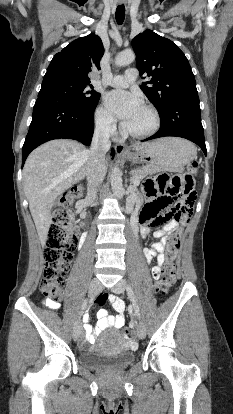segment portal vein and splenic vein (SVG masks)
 <instances>
[{
	"instance_id": "obj_1",
	"label": "portal vein and splenic vein",
	"mask_w": 233,
	"mask_h": 414,
	"mask_svg": "<svg viewBox=\"0 0 233 414\" xmlns=\"http://www.w3.org/2000/svg\"><path fill=\"white\" fill-rule=\"evenodd\" d=\"M132 182H133V184H134L135 186H138V185H139V183H140L138 180L133 179V178H132Z\"/></svg>"
}]
</instances>
